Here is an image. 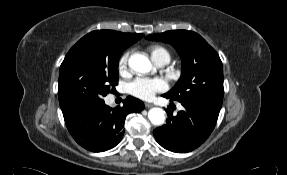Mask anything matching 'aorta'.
<instances>
[{
	"label": "aorta",
	"mask_w": 287,
	"mask_h": 175,
	"mask_svg": "<svg viewBox=\"0 0 287 175\" xmlns=\"http://www.w3.org/2000/svg\"><path fill=\"white\" fill-rule=\"evenodd\" d=\"M131 70L137 73H148L152 69L150 60L142 54H133L128 61ZM148 118L153 125L160 126L165 122V112L163 109L154 107L148 112Z\"/></svg>",
	"instance_id": "1"
}]
</instances>
